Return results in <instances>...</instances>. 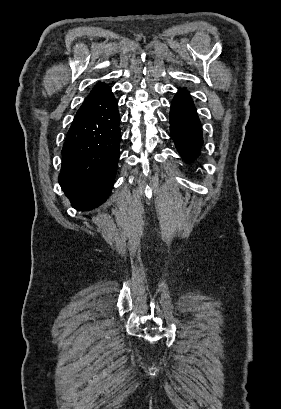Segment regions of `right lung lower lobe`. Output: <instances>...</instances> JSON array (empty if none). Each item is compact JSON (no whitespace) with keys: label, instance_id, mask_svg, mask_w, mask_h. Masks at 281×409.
<instances>
[{"label":"right lung lower lobe","instance_id":"right-lung-lower-lobe-1","mask_svg":"<svg viewBox=\"0 0 281 409\" xmlns=\"http://www.w3.org/2000/svg\"><path fill=\"white\" fill-rule=\"evenodd\" d=\"M117 101L104 83L93 87L66 135L59 183L77 210L98 207L109 196L120 147Z\"/></svg>","mask_w":281,"mask_h":409}]
</instances>
